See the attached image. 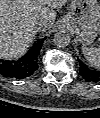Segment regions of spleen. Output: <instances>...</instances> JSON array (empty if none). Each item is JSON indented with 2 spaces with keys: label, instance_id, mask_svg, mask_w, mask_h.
Masks as SVG:
<instances>
[{
  "label": "spleen",
  "instance_id": "1",
  "mask_svg": "<svg viewBox=\"0 0 100 118\" xmlns=\"http://www.w3.org/2000/svg\"><path fill=\"white\" fill-rule=\"evenodd\" d=\"M82 52L87 60V62L98 69L100 67V48L98 47H87L85 45L82 46Z\"/></svg>",
  "mask_w": 100,
  "mask_h": 118
}]
</instances>
